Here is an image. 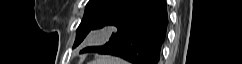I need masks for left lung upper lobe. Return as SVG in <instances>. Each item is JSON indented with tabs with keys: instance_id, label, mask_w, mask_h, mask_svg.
Returning a JSON list of instances; mask_svg holds the SVG:
<instances>
[{
	"instance_id": "5c2ea615",
	"label": "left lung upper lobe",
	"mask_w": 242,
	"mask_h": 64,
	"mask_svg": "<svg viewBox=\"0 0 242 64\" xmlns=\"http://www.w3.org/2000/svg\"><path fill=\"white\" fill-rule=\"evenodd\" d=\"M122 0H89L85 7L83 19L77 29L74 48L78 46L86 35L94 30L99 21Z\"/></svg>"
}]
</instances>
